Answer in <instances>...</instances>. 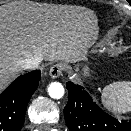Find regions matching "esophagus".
<instances>
[{
    "label": "esophagus",
    "instance_id": "1",
    "mask_svg": "<svg viewBox=\"0 0 131 131\" xmlns=\"http://www.w3.org/2000/svg\"><path fill=\"white\" fill-rule=\"evenodd\" d=\"M62 71V66L61 65H54L53 67H51L49 75L51 78H57L60 76Z\"/></svg>",
    "mask_w": 131,
    "mask_h": 131
}]
</instances>
